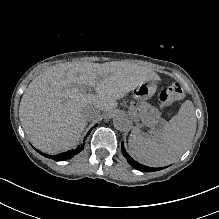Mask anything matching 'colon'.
I'll list each match as a JSON object with an SVG mask.
<instances>
[{"mask_svg":"<svg viewBox=\"0 0 219 219\" xmlns=\"http://www.w3.org/2000/svg\"><path fill=\"white\" fill-rule=\"evenodd\" d=\"M184 97V90L180 84L174 83L159 93V100L162 106H169L173 102L181 100Z\"/></svg>","mask_w":219,"mask_h":219,"instance_id":"obj_1","label":"colon"}]
</instances>
